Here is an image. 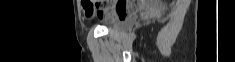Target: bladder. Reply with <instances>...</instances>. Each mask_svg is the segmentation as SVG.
Segmentation results:
<instances>
[{"label":"bladder","instance_id":"1","mask_svg":"<svg viewBox=\"0 0 235 62\" xmlns=\"http://www.w3.org/2000/svg\"><path fill=\"white\" fill-rule=\"evenodd\" d=\"M137 20V14L131 13L126 18L110 23L108 28L113 30H126L130 28Z\"/></svg>","mask_w":235,"mask_h":62}]
</instances>
